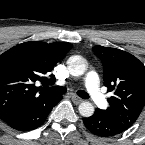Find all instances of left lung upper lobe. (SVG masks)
Here are the masks:
<instances>
[{"label":"left lung upper lobe","instance_id":"left-lung-upper-lobe-1","mask_svg":"<svg viewBox=\"0 0 145 145\" xmlns=\"http://www.w3.org/2000/svg\"><path fill=\"white\" fill-rule=\"evenodd\" d=\"M104 68V83L114 96L104 115L127 130L145 105V66L132 54L116 48L93 47Z\"/></svg>","mask_w":145,"mask_h":145}]
</instances>
